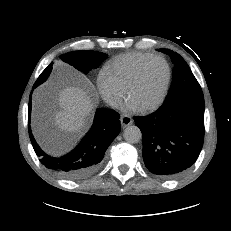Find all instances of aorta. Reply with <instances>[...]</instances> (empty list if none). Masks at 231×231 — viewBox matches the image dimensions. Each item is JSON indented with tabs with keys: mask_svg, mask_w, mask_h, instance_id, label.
<instances>
[{
	"mask_svg": "<svg viewBox=\"0 0 231 231\" xmlns=\"http://www.w3.org/2000/svg\"><path fill=\"white\" fill-rule=\"evenodd\" d=\"M123 137L128 143H138L142 138V133L137 126L130 125L124 130Z\"/></svg>",
	"mask_w": 231,
	"mask_h": 231,
	"instance_id": "762f6f07",
	"label": "aorta"
}]
</instances>
